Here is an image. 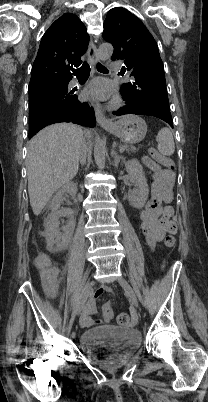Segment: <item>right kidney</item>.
Listing matches in <instances>:
<instances>
[{
    "instance_id": "right-kidney-1",
    "label": "right kidney",
    "mask_w": 208,
    "mask_h": 402,
    "mask_svg": "<svg viewBox=\"0 0 208 402\" xmlns=\"http://www.w3.org/2000/svg\"><path fill=\"white\" fill-rule=\"evenodd\" d=\"M65 194L76 196L77 184H74V182H67V184L62 186V188L56 192L55 196H53L50 202L51 214L46 220L44 232L47 244H50V246L56 244L57 248H60V250L66 248L73 234L71 228H67V226H64V232H59L60 218H64V216H73L74 214L73 210H70V208H63V210H60V206L63 200H65Z\"/></svg>"
}]
</instances>
